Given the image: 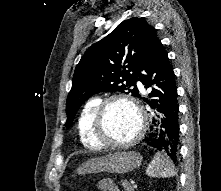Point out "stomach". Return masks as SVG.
I'll return each instance as SVG.
<instances>
[{"mask_svg": "<svg viewBox=\"0 0 221 191\" xmlns=\"http://www.w3.org/2000/svg\"><path fill=\"white\" fill-rule=\"evenodd\" d=\"M142 159L140 153L119 151L100 158H92L79 166L76 172L79 175L98 172L123 174L138 168Z\"/></svg>", "mask_w": 221, "mask_h": 191, "instance_id": "stomach-1", "label": "stomach"}]
</instances>
